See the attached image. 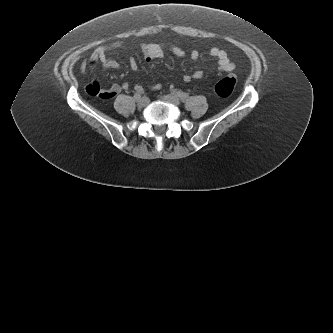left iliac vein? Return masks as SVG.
<instances>
[{
    "label": "left iliac vein",
    "instance_id": "obj_1",
    "mask_svg": "<svg viewBox=\"0 0 333 333\" xmlns=\"http://www.w3.org/2000/svg\"><path fill=\"white\" fill-rule=\"evenodd\" d=\"M165 102L171 103L173 105H180V99L174 94H168L161 97Z\"/></svg>",
    "mask_w": 333,
    "mask_h": 333
}]
</instances>
